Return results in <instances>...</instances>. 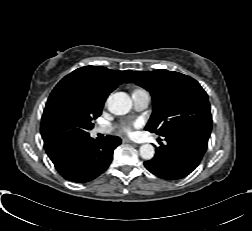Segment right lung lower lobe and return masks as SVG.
Here are the masks:
<instances>
[{
    "mask_svg": "<svg viewBox=\"0 0 252 231\" xmlns=\"http://www.w3.org/2000/svg\"><path fill=\"white\" fill-rule=\"evenodd\" d=\"M120 143L117 136L108 135L105 141L98 143L87 135L64 143L50 159L66 180L86 183L107 169Z\"/></svg>",
    "mask_w": 252,
    "mask_h": 231,
    "instance_id": "1",
    "label": "right lung lower lobe"
}]
</instances>
